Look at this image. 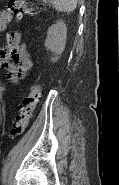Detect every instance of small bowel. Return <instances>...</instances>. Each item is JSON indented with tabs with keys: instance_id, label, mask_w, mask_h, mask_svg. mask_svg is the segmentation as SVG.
Masks as SVG:
<instances>
[{
	"instance_id": "c3829d8e",
	"label": "small bowel",
	"mask_w": 119,
	"mask_h": 185,
	"mask_svg": "<svg viewBox=\"0 0 119 185\" xmlns=\"http://www.w3.org/2000/svg\"><path fill=\"white\" fill-rule=\"evenodd\" d=\"M0 65L8 72V79L21 80L33 67L21 33L11 31L6 34V45L0 49Z\"/></svg>"
}]
</instances>
